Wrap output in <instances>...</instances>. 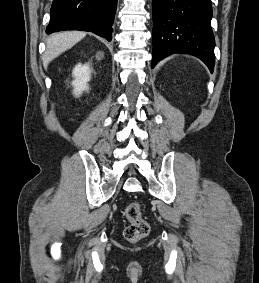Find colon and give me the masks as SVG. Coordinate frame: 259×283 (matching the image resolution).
<instances>
[{"instance_id":"1","label":"colon","mask_w":259,"mask_h":283,"mask_svg":"<svg viewBox=\"0 0 259 283\" xmlns=\"http://www.w3.org/2000/svg\"><path fill=\"white\" fill-rule=\"evenodd\" d=\"M125 216L129 222L124 229V237L127 241L137 242L149 233V223L144 219L138 202H132L126 207Z\"/></svg>"}]
</instances>
